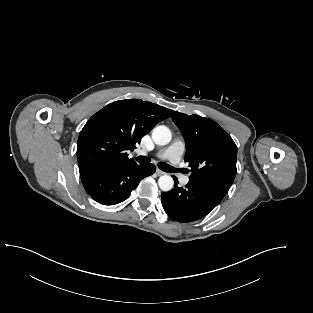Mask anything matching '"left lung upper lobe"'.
Listing matches in <instances>:
<instances>
[{"instance_id": "1", "label": "left lung upper lobe", "mask_w": 313, "mask_h": 313, "mask_svg": "<svg viewBox=\"0 0 313 313\" xmlns=\"http://www.w3.org/2000/svg\"><path fill=\"white\" fill-rule=\"evenodd\" d=\"M186 142L185 161L192 174L189 183L225 196L236 175L237 146L214 121L171 110Z\"/></svg>"}]
</instances>
